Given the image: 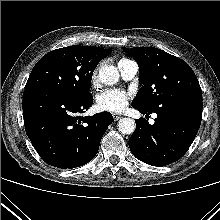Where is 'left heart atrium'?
I'll return each mask as SVG.
<instances>
[{
    "label": "left heart atrium",
    "instance_id": "39dd6f15",
    "mask_svg": "<svg viewBox=\"0 0 220 220\" xmlns=\"http://www.w3.org/2000/svg\"><path fill=\"white\" fill-rule=\"evenodd\" d=\"M130 94L121 89H108L97 96V107L103 111L120 112L128 104Z\"/></svg>",
    "mask_w": 220,
    "mask_h": 220
}]
</instances>
